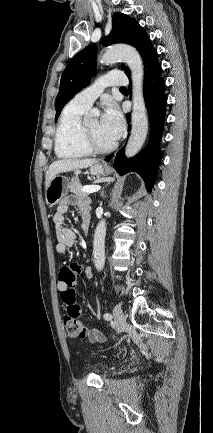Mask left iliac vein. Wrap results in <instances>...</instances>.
I'll return each instance as SVG.
<instances>
[{"mask_svg":"<svg viewBox=\"0 0 213 433\" xmlns=\"http://www.w3.org/2000/svg\"><path fill=\"white\" fill-rule=\"evenodd\" d=\"M113 316L116 325V330L121 333L126 326V319L124 313L119 305H116L113 309Z\"/></svg>","mask_w":213,"mask_h":433,"instance_id":"4c4485c4","label":"left iliac vein"}]
</instances>
